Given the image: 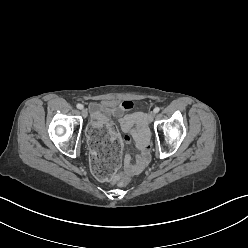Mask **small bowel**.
I'll list each match as a JSON object with an SVG mask.
<instances>
[{"instance_id":"1","label":"small bowel","mask_w":248,"mask_h":248,"mask_svg":"<svg viewBox=\"0 0 248 248\" xmlns=\"http://www.w3.org/2000/svg\"><path fill=\"white\" fill-rule=\"evenodd\" d=\"M133 106L134 103L132 101L116 103L109 100L101 104L104 113L118 118L119 125L125 133V141L133 140L139 150L135 160H133L129 153L124 157V171L129 175L141 172L147 165L150 157L146 115L142 112H132ZM92 108H97V105H92ZM116 136L117 133H112V138H116Z\"/></svg>"}]
</instances>
